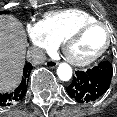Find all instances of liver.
Listing matches in <instances>:
<instances>
[{"label": "liver", "mask_w": 117, "mask_h": 117, "mask_svg": "<svg viewBox=\"0 0 117 117\" xmlns=\"http://www.w3.org/2000/svg\"><path fill=\"white\" fill-rule=\"evenodd\" d=\"M27 45L22 23L12 16L0 15V93L18 85Z\"/></svg>", "instance_id": "liver-1"}]
</instances>
